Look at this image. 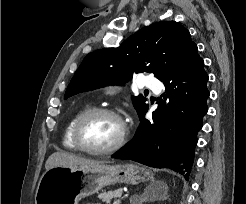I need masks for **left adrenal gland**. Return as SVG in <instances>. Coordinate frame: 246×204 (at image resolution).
I'll return each instance as SVG.
<instances>
[{"label":"left adrenal gland","mask_w":246,"mask_h":204,"mask_svg":"<svg viewBox=\"0 0 246 204\" xmlns=\"http://www.w3.org/2000/svg\"><path fill=\"white\" fill-rule=\"evenodd\" d=\"M139 199H140L139 204H141L142 202L146 201V200H147L146 192H144V193L139 197ZM130 203H131V204H136L135 197H131Z\"/></svg>","instance_id":"obj_1"}]
</instances>
